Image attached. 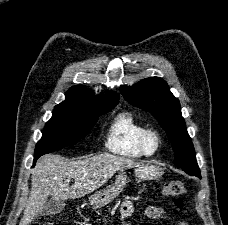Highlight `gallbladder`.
<instances>
[{"label":"gallbladder","instance_id":"bac80fb5","mask_svg":"<svg viewBox=\"0 0 228 225\" xmlns=\"http://www.w3.org/2000/svg\"><path fill=\"white\" fill-rule=\"evenodd\" d=\"M66 207L65 201L62 199H50L48 203H46L43 213L44 215H57L60 211H64Z\"/></svg>","mask_w":228,"mask_h":225}]
</instances>
